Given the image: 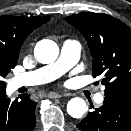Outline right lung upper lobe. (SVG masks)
I'll return each mask as SVG.
<instances>
[{"label": "right lung upper lobe", "instance_id": "cb5924a9", "mask_svg": "<svg viewBox=\"0 0 131 131\" xmlns=\"http://www.w3.org/2000/svg\"><path fill=\"white\" fill-rule=\"evenodd\" d=\"M49 17L0 16V56L19 57L25 38Z\"/></svg>", "mask_w": 131, "mask_h": 131}]
</instances>
